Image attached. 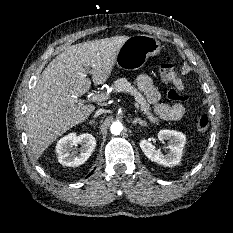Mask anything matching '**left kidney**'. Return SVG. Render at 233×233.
<instances>
[{
	"mask_svg": "<svg viewBox=\"0 0 233 233\" xmlns=\"http://www.w3.org/2000/svg\"><path fill=\"white\" fill-rule=\"evenodd\" d=\"M158 139L160 141L169 140V152L167 154H163L161 151L157 150L149 140L143 139L140 141V148L145 156L159 165L169 167L178 165L182 158L183 148L186 143V136L181 132L165 129L159 131Z\"/></svg>",
	"mask_w": 233,
	"mask_h": 233,
	"instance_id": "1",
	"label": "left kidney"
}]
</instances>
